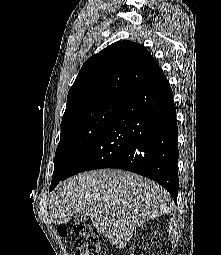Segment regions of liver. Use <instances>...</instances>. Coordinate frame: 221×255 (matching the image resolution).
I'll return each mask as SVG.
<instances>
[{"mask_svg": "<svg viewBox=\"0 0 221 255\" xmlns=\"http://www.w3.org/2000/svg\"><path fill=\"white\" fill-rule=\"evenodd\" d=\"M171 208V196L154 181L123 170L101 169L61 183L51 194L49 213L50 221L58 225L86 214L100 233L123 249L136 229Z\"/></svg>", "mask_w": 221, "mask_h": 255, "instance_id": "obj_1", "label": "liver"}]
</instances>
